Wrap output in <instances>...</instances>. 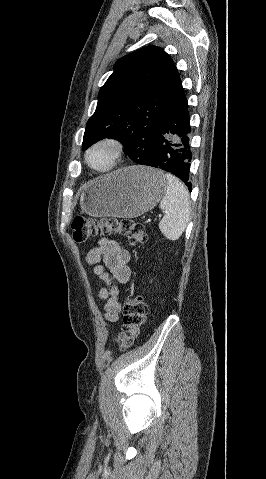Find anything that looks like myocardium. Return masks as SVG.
I'll return each mask as SVG.
<instances>
[{
	"label": "myocardium",
	"mask_w": 266,
	"mask_h": 479,
	"mask_svg": "<svg viewBox=\"0 0 266 479\" xmlns=\"http://www.w3.org/2000/svg\"><path fill=\"white\" fill-rule=\"evenodd\" d=\"M99 149H106L110 153V161L107 166L105 167H97L92 164L91 162V156L94 152H96ZM123 143L113 137H105L101 138L94 143L91 144V146L88 148L85 154V161L87 165L89 166L90 169H92L95 172L98 173H107L112 171L118 164L122 153H123Z\"/></svg>",
	"instance_id": "f54148a6"
}]
</instances>
